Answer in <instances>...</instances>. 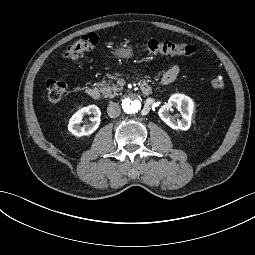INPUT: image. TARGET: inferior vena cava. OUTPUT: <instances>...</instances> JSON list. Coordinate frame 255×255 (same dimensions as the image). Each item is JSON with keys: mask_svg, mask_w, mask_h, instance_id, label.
<instances>
[{"mask_svg": "<svg viewBox=\"0 0 255 255\" xmlns=\"http://www.w3.org/2000/svg\"><path fill=\"white\" fill-rule=\"evenodd\" d=\"M120 106L116 102H110L107 107V114L111 118H116L120 115Z\"/></svg>", "mask_w": 255, "mask_h": 255, "instance_id": "inferior-vena-cava-1", "label": "inferior vena cava"}]
</instances>
